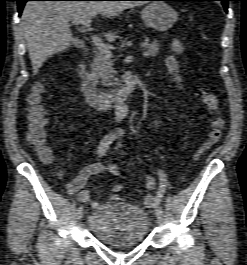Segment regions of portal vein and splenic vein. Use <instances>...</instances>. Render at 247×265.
Returning <instances> with one entry per match:
<instances>
[{
  "label": "portal vein and splenic vein",
  "mask_w": 247,
  "mask_h": 265,
  "mask_svg": "<svg viewBox=\"0 0 247 265\" xmlns=\"http://www.w3.org/2000/svg\"><path fill=\"white\" fill-rule=\"evenodd\" d=\"M73 24H82L87 31L91 30V19H85V20H75L72 22ZM92 42L94 43V45L96 46V48L100 51V53L105 54L107 57L112 56L111 51L109 50V48L102 42V40L100 38H98L97 36H92ZM147 43L143 42L141 44V48H146Z\"/></svg>",
  "instance_id": "portal-vein-and-splenic-vein-1"
}]
</instances>
